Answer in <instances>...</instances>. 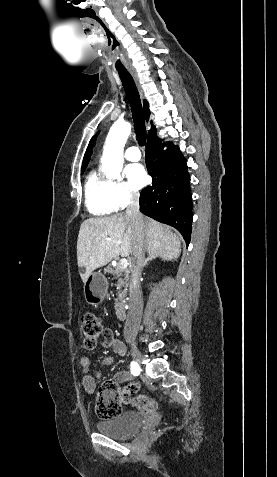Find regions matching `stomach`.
Segmentation results:
<instances>
[{
	"label": "stomach",
	"mask_w": 277,
	"mask_h": 477,
	"mask_svg": "<svg viewBox=\"0 0 277 477\" xmlns=\"http://www.w3.org/2000/svg\"><path fill=\"white\" fill-rule=\"evenodd\" d=\"M108 291V281L100 272L91 273L84 282L83 292L86 303L90 305L100 304Z\"/></svg>",
	"instance_id": "stomach-1"
}]
</instances>
